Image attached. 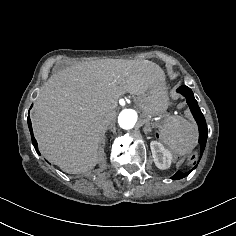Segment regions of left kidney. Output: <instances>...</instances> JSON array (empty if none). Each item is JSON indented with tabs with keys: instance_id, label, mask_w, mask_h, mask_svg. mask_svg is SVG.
Masks as SVG:
<instances>
[{
	"instance_id": "left-kidney-1",
	"label": "left kidney",
	"mask_w": 236,
	"mask_h": 236,
	"mask_svg": "<svg viewBox=\"0 0 236 236\" xmlns=\"http://www.w3.org/2000/svg\"><path fill=\"white\" fill-rule=\"evenodd\" d=\"M151 151L155 165L159 169H168L171 165L172 154L168 149H165L163 144L157 141L151 142Z\"/></svg>"
}]
</instances>
